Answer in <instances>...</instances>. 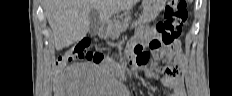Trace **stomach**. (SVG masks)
<instances>
[{"mask_svg":"<svg viewBox=\"0 0 232 96\" xmlns=\"http://www.w3.org/2000/svg\"><path fill=\"white\" fill-rule=\"evenodd\" d=\"M165 3L166 0H143V12L135 24L148 23L155 19L163 9ZM107 35L110 34L107 32L105 36Z\"/></svg>","mask_w":232,"mask_h":96,"instance_id":"obj_1","label":"stomach"}]
</instances>
